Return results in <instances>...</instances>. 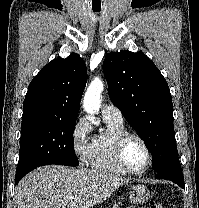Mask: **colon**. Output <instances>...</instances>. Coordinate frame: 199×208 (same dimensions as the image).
<instances>
[{"mask_svg": "<svg viewBox=\"0 0 199 208\" xmlns=\"http://www.w3.org/2000/svg\"><path fill=\"white\" fill-rule=\"evenodd\" d=\"M147 208H164V206L159 201L151 200Z\"/></svg>", "mask_w": 199, "mask_h": 208, "instance_id": "obj_1", "label": "colon"}]
</instances>
